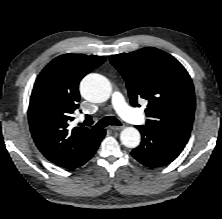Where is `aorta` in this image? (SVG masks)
<instances>
[{
    "label": "aorta",
    "instance_id": "762f6f07",
    "mask_svg": "<svg viewBox=\"0 0 222 219\" xmlns=\"http://www.w3.org/2000/svg\"><path fill=\"white\" fill-rule=\"evenodd\" d=\"M112 87L107 78L100 74H88L80 84L81 95L88 101L101 103L108 100ZM122 144L128 148H135L140 143V133L134 127H126L120 133Z\"/></svg>",
    "mask_w": 222,
    "mask_h": 219
}]
</instances>
